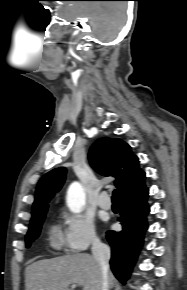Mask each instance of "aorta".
Instances as JSON below:
<instances>
[{
    "instance_id": "1",
    "label": "aorta",
    "mask_w": 187,
    "mask_h": 290,
    "mask_svg": "<svg viewBox=\"0 0 187 290\" xmlns=\"http://www.w3.org/2000/svg\"><path fill=\"white\" fill-rule=\"evenodd\" d=\"M85 202L86 195L82 185L79 182H73L67 191V206L73 213H79L83 210Z\"/></svg>"
}]
</instances>
